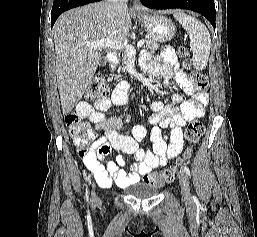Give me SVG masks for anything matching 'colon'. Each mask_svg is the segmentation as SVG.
Listing matches in <instances>:
<instances>
[{
	"label": "colon",
	"mask_w": 257,
	"mask_h": 237,
	"mask_svg": "<svg viewBox=\"0 0 257 237\" xmlns=\"http://www.w3.org/2000/svg\"><path fill=\"white\" fill-rule=\"evenodd\" d=\"M179 54L184 58V66L190 67V63L187 60L188 51L185 47L179 48ZM191 84L196 90L205 91L208 89L209 81L205 74L199 71H191L189 74ZM109 92V85L103 77L94 78L86 92V98L91 102H99L106 98ZM65 124L69 129L70 136L79 142L81 146H85L92 140V135L89 132L88 125L81 119V117L75 112H68L65 115ZM204 131L203 123L198 120H192L185 131V140L187 143V149L183 154V157L179 160L182 162L188 160L191 157L193 148L198 144L200 137ZM176 168L167 169L162 172H152L145 176V183L161 188L167 183L173 181L176 177Z\"/></svg>",
	"instance_id": "colon-1"
}]
</instances>
